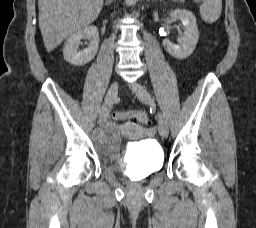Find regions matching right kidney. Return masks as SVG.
I'll return each instance as SVG.
<instances>
[{"instance_id":"obj_1","label":"right kidney","mask_w":256,"mask_h":228,"mask_svg":"<svg viewBox=\"0 0 256 228\" xmlns=\"http://www.w3.org/2000/svg\"><path fill=\"white\" fill-rule=\"evenodd\" d=\"M88 37L91 42L88 48L79 50L81 39ZM99 45V32L96 26H89L73 33L66 41L63 56L69 63L82 66L89 63L97 54Z\"/></svg>"}]
</instances>
